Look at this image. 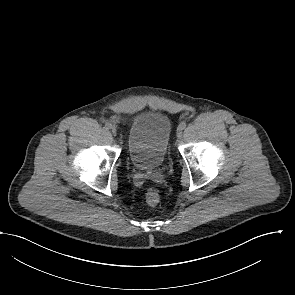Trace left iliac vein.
Segmentation results:
<instances>
[{
    "mask_svg": "<svg viewBox=\"0 0 295 295\" xmlns=\"http://www.w3.org/2000/svg\"><path fill=\"white\" fill-rule=\"evenodd\" d=\"M177 137L180 139L182 137V129L179 127L177 130Z\"/></svg>",
    "mask_w": 295,
    "mask_h": 295,
    "instance_id": "left-iliac-vein-1",
    "label": "left iliac vein"
}]
</instances>
